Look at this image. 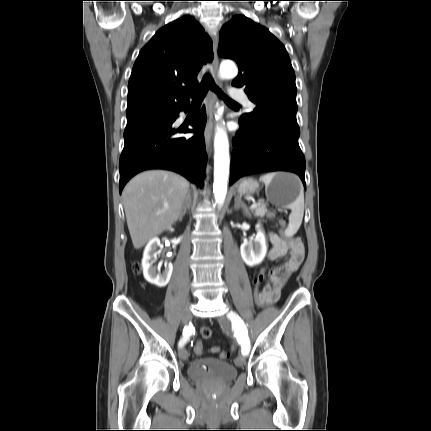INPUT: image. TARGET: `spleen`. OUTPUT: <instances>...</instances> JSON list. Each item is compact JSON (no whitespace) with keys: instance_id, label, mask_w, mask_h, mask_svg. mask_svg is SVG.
<instances>
[{"instance_id":"3e777b00","label":"spleen","mask_w":431,"mask_h":431,"mask_svg":"<svg viewBox=\"0 0 431 431\" xmlns=\"http://www.w3.org/2000/svg\"><path fill=\"white\" fill-rule=\"evenodd\" d=\"M276 173H268L260 177V181L268 185L274 178ZM291 214L289 215V224L286 229V235H294L299 227L301 226L303 215H304V193L301 190L299 197L290 206Z\"/></svg>"}]
</instances>
